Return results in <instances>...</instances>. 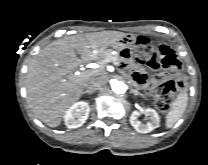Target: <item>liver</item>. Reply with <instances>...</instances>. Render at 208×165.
Instances as JSON below:
<instances>
[{
	"label": "liver",
	"instance_id": "1",
	"mask_svg": "<svg viewBox=\"0 0 208 165\" xmlns=\"http://www.w3.org/2000/svg\"><path fill=\"white\" fill-rule=\"evenodd\" d=\"M124 36L119 31L76 34L42 49L31 61L26 76L28 103L37 118L49 127L59 126L65 111L94 79L73 71L83 63L98 61L107 47Z\"/></svg>",
	"mask_w": 208,
	"mask_h": 165
}]
</instances>
